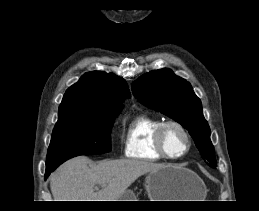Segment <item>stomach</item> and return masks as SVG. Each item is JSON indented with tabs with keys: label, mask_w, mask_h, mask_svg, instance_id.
Returning <instances> with one entry per match:
<instances>
[{
	"label": "stomach",
	"mask_w": 259,
	"mask_h": 211,
	"mask_svg": "<svg viewBox=\"0 0 259 211\" xmlns=\"http://www.w3.org/2000/svg\"><path fill=\"white\" fill-rule=\"evenodd\" d=\"M145 188L150 201H196L204 194L203 181L191 170L164 165L149 172ZM133 191L126 190L117 201H136Z\"/></svg>",
	"instance_id": "obj_1"
}]
</instances>
